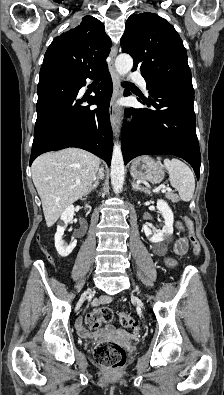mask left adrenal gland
<instances>
[{
    "label": "left adrenal gland",
    "mask_w": 224,
    "mask_h": 395,
    "mask_svg": "<svg viewBox=\"0 0 224 395\" xmlns=\"http://www.w3.org/2000/svg\"><path fill=\"white\" fill-rule=\"evenodd\" d=\"M131 185H132V189H133V190H137V191L140 190V191H143V192H145V193H150V191H149L147 188L142 187V186L136 184L135 180H132Z\"/></svg>",
    "instance_id": "obj_1"
}]
</instances>
